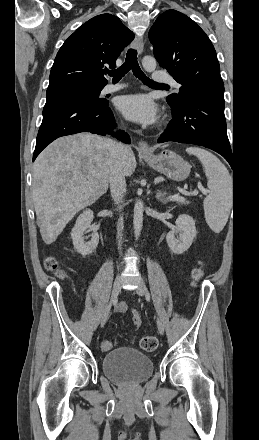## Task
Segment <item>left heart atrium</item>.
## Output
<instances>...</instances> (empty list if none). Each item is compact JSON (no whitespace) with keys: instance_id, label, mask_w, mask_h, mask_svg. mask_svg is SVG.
I'll return each instance as SVG.
<instances>
[{"instance_id":"1","label":"left heart atrium","mask_w":259,"mask_h":440,"mask_svg":"<svg viewBox=\"0 0 259 440\" xmlns=\"http://www.w3.org/2000/svg\"><path fill=\"white\" fill-rule=\"evenodd\" d=\"M119 110L130 120L152 124L158 119V108L150 96L146 94H131L118 100Z\"/></svg>"}]
</instances>
